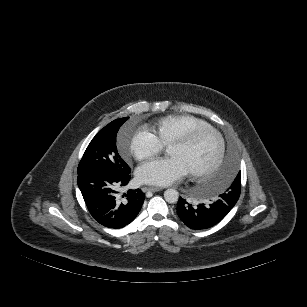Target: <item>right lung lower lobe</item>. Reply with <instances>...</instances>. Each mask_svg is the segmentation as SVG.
I'll use <instances>...</instances> for the list:
<instances>
[{
    "instance_id": "1",
    "label": "right lung lower lobe",
    "mask_w": 307,
    "mask_h": 307,
    "mask_svg": "<svg viewBox=\"0 0 307 307\" xmlns=\"http://www.w3.org/2000/svg\"><path fill=\"white\" fill-rule=\"evenodd\" d=\"M130 180L129 173L112 175L93 171L78 175L77 182L86 206L93 218L108 228H122L138 215L145 194L140 189L128 190L120 200L117 187L125 186Z\"/></svg>"
}]
</instances>
